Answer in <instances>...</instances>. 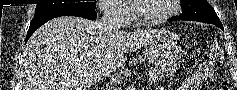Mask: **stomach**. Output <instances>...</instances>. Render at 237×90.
Wrapping results in <instances>:
<instances>
[{
  "instance_id": "0dacf381",
  "label": "stomach",
  "mask_w": 237,
  "mask_h": 90,
  "mask_svg": "<svg viewBox=\"0 0 237 90\" xmlns=\"http://www.w3.org/2000/svg\"><path fill=\"white\" fill-rule=\"evenodd\" d=\"M181 48L163 36H155L145 45L144 54L153 64L165 67L173 65L181 56Z\"/></svg>"
}]
</instances>
